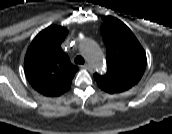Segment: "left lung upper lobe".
Returning <instances> with one entry per match:
<instances>
[{"label": "left lung upper lobe", "mask_w": 172, "mask_h": 134, "mask_svg": "<svg viewBox=\"0 0 172 134\" xmlns=\"http://www.w3.org/2000/svg\"><path fill=\"white\" fill-rule=\"evenodd\" d=\"M101 34L107 48V72L94 74L98 86L120 93L136 85L146 68V54L133 33L123 25L103 24Z\"/></svg>", "instance_id": "left-lung-upper-lobe-1"}]
</instances>
